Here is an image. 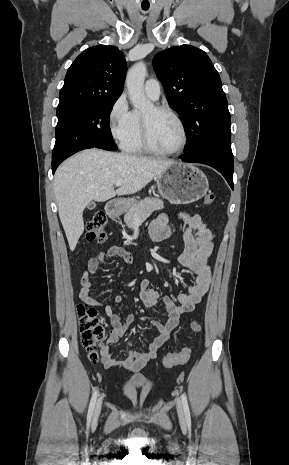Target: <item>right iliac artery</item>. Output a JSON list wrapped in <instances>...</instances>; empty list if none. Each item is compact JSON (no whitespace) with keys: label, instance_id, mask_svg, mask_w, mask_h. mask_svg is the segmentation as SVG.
I'll return each mask as SVG.
<instances>
[{"label":"right iliac artery","instance_id":"82829eb1","mask_svg":"<svg viewBox=\"0 0 289 465\" xmlns=\"http://www.w3.org/2000/svg\"><path fill=\"white\" fill-rule=\"evenodd\" d=\"M97 394H98V389L95 388L94 393H93L92 398H91V401H90L89 409H88V415H87V422L88 423L91 421V418L93 416V411H94V407H95V403H96V399H97Z\"/></svg>","mask_w":289,"mask_h":465}]
</instances>
